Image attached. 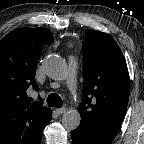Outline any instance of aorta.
<instances>
[{
	"label": "aorta",
	"instance_id": "762f6f07",
	"mask_svg": "<svg viewBox=\"0 0 144 144\" xmlns=\"http://www.w3.org/2000/svg\"><path fill=\"white\" fill-rule=\"evenodd\" d=\"M46 75L53 80H62L66 76V64L56 55H51L43 63ZM81 121V115L77 110H69L62 116V124L68 130H75Z\"/></svg>",
	"mask_w": 144,
	"mask_h": 144
}]
</instances>
